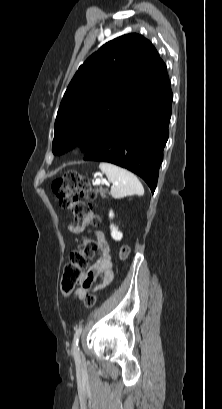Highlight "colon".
Here are the masks:
<instances>
[{"label": "colon", "mask_w": 222, "mask_h": 409, "mask_svg": "<svg viewBox=\"0 0 222 409\" xmlns=\"http://www.w3.org/2000/svg\"><path fill=\"white\" fill-rule=\"evenodd\" d=\"M52 191L56 196L60 207L69 210L77 220H84L90 213V207L87 202L96 197V191L92 187L88 178L82 176L76 171H68L61 177L52 182ZM79 197L87 202L79 200ZM87 223L95 226L98 223L96 216L90 217ZM97 250V243L93 239H86L70 255V261L66 264L61 278V291L69 295L78 285L76 280L79 274L87 267L88 258ZM129 255V248L122 246L119 251L121 260H125ZM96 303V295L88 294L85 297V306L92 308Z\"/></svg>", "instance_id": "obj_1"}]
</instances>
